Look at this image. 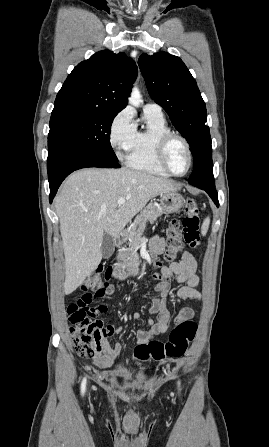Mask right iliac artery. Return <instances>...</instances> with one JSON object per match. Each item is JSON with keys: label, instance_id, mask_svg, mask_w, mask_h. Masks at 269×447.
I'll return each instance as SVG.
<instances>
[{"label": "right iliac artery", "instance_id": "obj_1", "mask_svg": "<svg viewBox=\"0 0 269 447\" xmlns=\"http://www.w3.org/2000/svg\"><path fill=\"white\" fill-rule=\"evenodd\" d=\"M85 386H86V378L83 379L82 384H81V392H82V394L85 391Z\"/></svg>", "mask_w": 269, "mask_h": 447}]
</instances>
